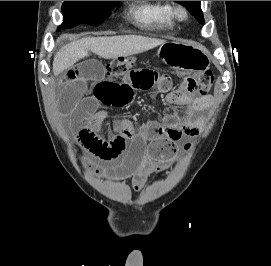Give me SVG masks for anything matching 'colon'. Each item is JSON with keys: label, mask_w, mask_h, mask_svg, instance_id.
Listing matches in <instances>:
<instances>
[{"label": "colon", "mask_w": 271, "mask_h": 266, "mask_svg": "<svg viewBox=\"0 0 271 266\" xmlns=\"http://www.w3.org/2000/svg\"><path fill=\"white\" fill-rule=\"evenodd\" d=\"M134 58H119L112 60L106 65L107 74L111 77L123 75L135 64ZM214 76L210 70L200 71L186 76L182 81V89L188 93L207 94L213 84Z\"/></svg>", "instance_id": "1"}]
</instances>
